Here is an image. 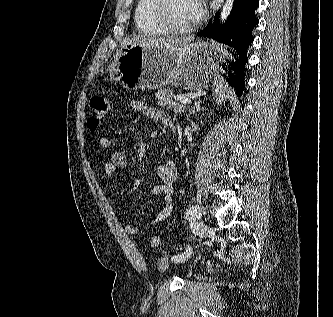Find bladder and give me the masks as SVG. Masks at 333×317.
Wrapping results in <instances>:
<instances>
[{"mask_svg": "<svg viewBox=\"0 0 333 317\" xmlns=\"http://www.w3.org/2000/svg\"><path fill=\"white\" fill-rule=\"evenodd\" d=\"M172 267L173 263L168 256H163L156 260V269L160 274L169 273Z\"/></svg>", "mask_w": 333, "mask_h": 317, "instance_id": "31cf9c89", "label": "bladder"}]
</instances>
